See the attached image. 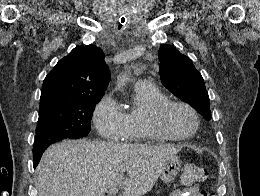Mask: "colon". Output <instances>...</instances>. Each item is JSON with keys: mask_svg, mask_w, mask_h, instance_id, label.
Masks as SVG:
<instances>
[{"mask_svg": "<svg viewBox=\"0 0 260 196\" xmlns=\"http://www.w3.org/2000/svg\"><path fill=\"white\" fill-rule=\"evenodd\" d=\"M208 173L206 169L194 163H186L182 166L180 180L184 185L190 186L195 183L205 182Z\"/></svg>", "mask_w": 260, "mask_h": 196, "instance_id": "5ec220e1", "label": "colon"}]
</instances>
